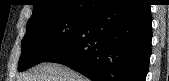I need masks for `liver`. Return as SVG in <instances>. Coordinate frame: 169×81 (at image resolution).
Segmentation results:
<instances>
[{
  "label": "liver",
  "mask_w": 169,
  "mask_h": 81,
  "mask_svg": "<svg viewBox=\"0 0 169 81\" xmlns=\"http://www.w3.org/2000/svg\"><path fill=\"white\" fill-rule=\"evenodd\" d=\"M17 81H88L83 75L58 63H40L18 77Z\"/></svg>",
  "instance_id": "liver-1"
}]
</instances>
